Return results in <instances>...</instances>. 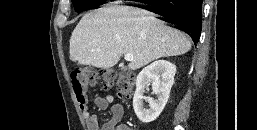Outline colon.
Returning a JSON list of instances; mask_svg holds the SVG:
<instances>
[{
  "mask_svg": "<svg viewBox=\"0 0 257 130\" xmlns=\"http://www.w3.org/2000/svg\"><path fill=\"white\" fill-rule=\"evenodd\" d=\"M101 84L103 89H111L114 86L120 97L131 98L135 87V75L132 71L125 70L117 72L113 69H107L101 73L88 67H77L71 72V83L76 98L83 101L85 93L89 86L95 87Z\"/></svg>",
  "mask_w": 257,
  "mask_h": 130,
  "instance_id": "1",
  "label": "colon"
}]
</instances>
